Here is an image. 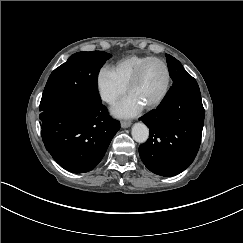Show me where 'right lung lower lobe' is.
<instances>
[{"label":"right lung lower lobe","instance_id":"obj_1","mask_svg":"<svg viewBox=\"0 0 243 243\" xmlns=\"http://www.w3.org/2000/svg\"><path fill=\"white\" fill-rule=\"evenodd\" d=\"M42 139L47 151L73 173L92 170L103 158L120 123L100 101L68 97L41 111Z\"/></svg>","mask_w":243,"mask_h":243}]
</instances>
